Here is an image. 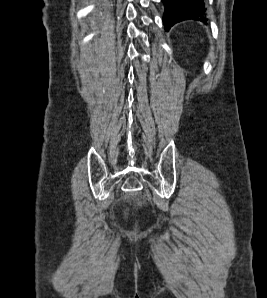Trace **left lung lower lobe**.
<instances>
[{"label": "left lung lower lobe", "mask_w": 267, "mask_h": 298, "mask_svg": "<svg viewBox=\"0 0 267 298\" xmlns=\"http://www.w3.org/2000/svg\"><path fill=\"white\" fill-rule=\"evenodd\" d=\"M162 2L165 5L163 23L166 31L183 20H204L203 0H162Z\"/></svg>", "instance_id": "left-lung-lower-lobe-1"}]
</instances>
